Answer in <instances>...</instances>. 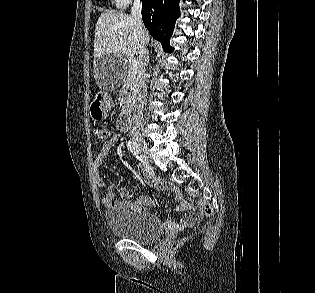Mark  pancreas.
Here are the masks:
<instances>
[{
  "instance_id": "cf45deb5",
  "label": "pancreas",
  "mask_w": 315,
  "mask_h": 293,
  "mask_svg": "<svg viewBox=\"0 0 315 293\" xmlns=\"http://www.w3.org/2000/svg\"><path fill=\"white\" fill-rule=\"evenodd\" d=\"M119 95L122 97V114H128L131 112L134 102L137 96V79L134 73H130L124 85L119 91Z\"/></svg>"
}]
</instances>
